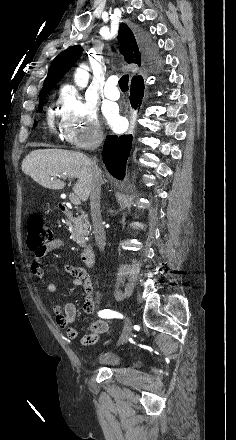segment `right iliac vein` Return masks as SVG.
Masks as SVG:
<instances>
[{"instance_id":"right-iliac-vein-1","label":"right iliac vein","mask_w":236,"mask_h":440,"mask_svg":"<svg viewBox=\"0 0 236 440\" xmlns=\"http://www.w3.org/2000/svg\"><path fill=\"white\" fill-rule=\"evenodd\" d=\"M130 332H131V323H130L129 317H127L125 324H124L123 333L120 338L119 344H124L127 341Z\"/></svg>"}]
</instances>
